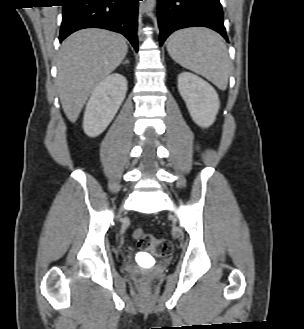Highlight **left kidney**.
Wrapping results in <instances>:
<instances>
[{"instance_id":"5707ae66","label":"left kidney","mask_w":304,"mask_h":329,"mask_svg":"<svg viewBox=\"0 0 304 329\" xmlns=\"http://www.w3.org/2000/svg\"><path fill=\"white\" fill-rule=\"evenodd\" d=\"M178 90L193 121L202 128L211 126L220 107L215 89L197 75L182 72L178 76Z\"/></svg>"}]
</instances>
